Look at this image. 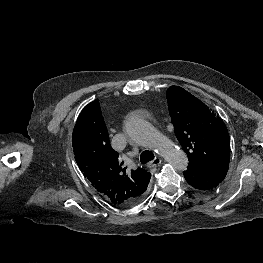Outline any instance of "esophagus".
I'll return each mask as SVG.
<instances>
[{"instance_id": "34e87169", "label": "esophagus", "mask_w": 263, "mask_h": 263, "mask_svg": "<svg viewBox=\"0 0 263 263\" xmlns=\"http://www.w3.org/2000/svg\"><path fill=\"white\" fill-rule=\"evenodd\" d=\"M162 160L159 157H156L154 160H152L150 163H148L147 167L149 169L155 168L158 165H160Z\"/></svg>"}]
</instances>
